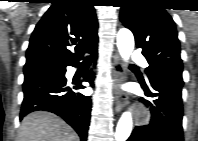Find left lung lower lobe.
Instances as JSON below:
<instances>
[{
  "instance_id": "1",
  "label": "left lung lower lobe",
  "mask_w": 198,
  "mask_h": 141,
  "mask_svg": "<svg viewBox=\"0 0 198 141\" xmlns=\"http://www.w3.org/2000/svg\"><path fill=\"white\" fill-rule=\"evenodd\" d=\"M151 90L142 83L149 101H141L150 107V124L137 126L127 141H183L182 76L158 73L149 78Z\"/></svg>"
}]
</instances>
